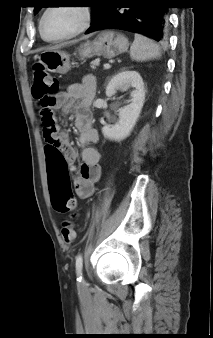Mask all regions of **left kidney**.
Segmentation results:
<instances>
[{
	"mask_svg": "<svg viewBox=\"0 0 213 338\" xmlns=\"http://www.w3.org/2000/svg\"><path fill=\"white\" fill-rule=\"evenodd\" d=\"M130 87L131 102L119 109V120L114 125H105L102 128L104 137L120 141L128 137L133 130L141 113L145 101V88L143 79L136 71L121 70L114 75L106 87V95L113 96L117 90L126 91Z\"/></svg>",
	"mask_w": 213,
	"mask_h": 338,
	"instance_id": "1",
	"label": "left kidney"
}]
</instances>
